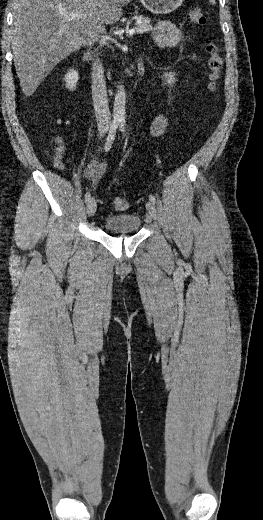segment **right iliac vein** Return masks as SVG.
I'll list each match as a JSON object with an SVG mask.
<instances>
[{
    "label": "right iliac vein",
    "instance_id": "63e3f726",
    "mask_svg": "<svg viewBox=\"0 0 263 520\" xmlns=\"http://www.w3.org/2000/svg\"><path fill=\"white\" fill-rule=\"evenodd\" d=\"M104 136V133H103ZM97 209V203L94 198L90 199L87 203V214L88 216H93Z\"/></svg>",
    "mask_w": 263,
    "mask_h": 520
}]
</instances>
